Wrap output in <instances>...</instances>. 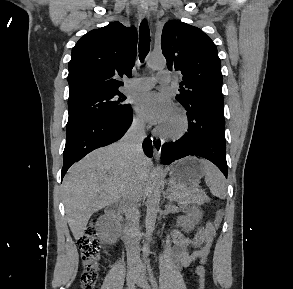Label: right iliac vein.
I'll list each match as a JSON object with an SVG mask.
<instances>
[{
	"mask_svg": "<svg viewBox=\"0 0 293 289\" xmlns=\"http://www.w3.org/2000/svg\"><path fill=\"white\" fill-rule=\"evenodd\" d=\"M137 265H131L127 275V288L126 289H133L134 283L137 277Z\"/></svg>",
	"mask_w": 293,
	"mask_h": 289,
	"instance_id": "63e3f726",
	"label": "right iliac vein"
}]
</instances>
